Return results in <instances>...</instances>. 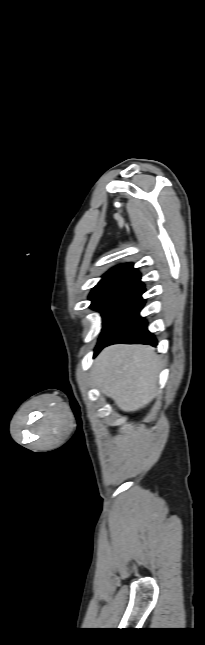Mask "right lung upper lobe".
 <instances>
[{"label":"right lung upper lobe","mask_w":205,"mask_h":645,"mask_svg":"<svg viewBox=\"0 0 205 645\" xmlns=\"http://www.w3.org/2000/svg\"><path fill=\"white\" fill-rule=\"evenodd\" d=\"M140 276L141 274L133 268L132 263L116 266L103 276L91 291L89 299L94 304L114 293L128 290L145 291Z\"/></svg>","instance_id":"1"}]
</instances>
